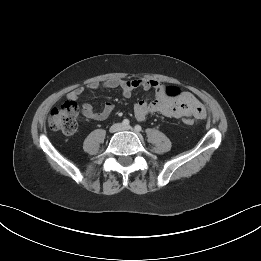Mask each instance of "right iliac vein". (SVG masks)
<instances>
[{
	"instance_id": "obj_1",
	"label": "right iliac vein",
	"mask_w": 261,
	"mask_h": 261,
	"mask_svg": "<svg viewBox=\"0 0 261 261\" xmlns=\"http://www.w3.org/2000/svg\"><path fill=\"white\" fill-rule=\"evenodd\" d=\"M122 128L121 124L117 123V124H114L110 127V132L111 133H115L117 131H120Z\"/></svg>"
}]
</instances>
